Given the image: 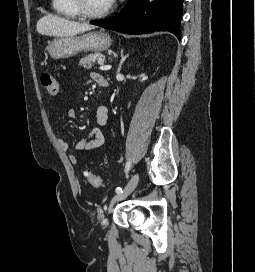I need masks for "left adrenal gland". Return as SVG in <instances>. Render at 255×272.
Returning a JSON list of instances; mask_svg holds the SVG:
<instances>
[{
  "label": "left adrenal gland",
  "mask_w": 255,
  "mask_h": 272,
  "mask_svg": "<svg viewBox=\"0 0 255 272\" xmlns=\"http://www.w3.org/2000/svg\"><path fill=\"white\" fill-rule=\"evenodd\" d=\"M128 58V54L124 55L123 49H121V60L117 69V73H119L122 69V65L124 63V61Z\"/></svg>",
  "instance_id": "1"
}]
</instances>
